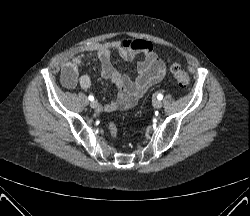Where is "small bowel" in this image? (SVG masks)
I'll return each mask as SVG.
<instances>
[{
	"instance_id": "c3829d8e",
	"label": "small bowel",
	"mask_w": 250,
	"mask_h": 216,
	"mask_svg": "<svg viewBox=\"0 0 250 216\" xmlns=\"http://www.w3.org/2000/svg\"><path fill=\"white\" fill-rule=\"evenodd\" d=\"M113 50L124 60H132L137 54H142V60L138 62L133 77H128L113 67ZM87 53H92L98 58L101 76L110 80L117 90L116 98L103 105L105 111L133 107L147 89L161 81L165 75V65L151 42L143 39L114 40L104 44H90L67 55L61 64V81L65 88L74 89L77 85L84 90L91 88V78L87 74L79 75L80 65Z\"/></svg>"
}]
</instances>
